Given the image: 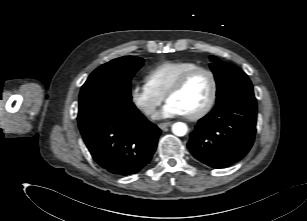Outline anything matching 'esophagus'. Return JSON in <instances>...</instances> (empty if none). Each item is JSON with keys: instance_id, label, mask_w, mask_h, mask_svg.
<instances>
[{"instance_id": "obj_1", "label": "esophagus", "mask_w": 307, "mask_h": 221, "mask_svg": "<svg viewBox=\"0 0 307 221\" xmlns=\"http://www.w3.org/2000/svg\"><path fill=\"white\" fill-rule=\"evenodd\" d=\"M171 125H172V122H164V123H159L158 124L160 129H165V128L171 126Z\"/></svg>"}]
</instances>
